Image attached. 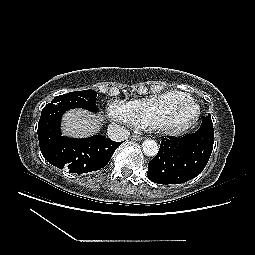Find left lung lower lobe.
Returning a JSON list of instances; mask_svg holds the SVG:
<instances>
[{
    "mask_svg": "<svg viewBox=\"0 0 255 255\" xmlns=\"http://www.w3.org/2000/svg\"><path fill=\"white\" fill-rule=\"evenodd\" d=\"M214 144L211 116L200 128L181 138L167 136L158 154L149 162L147 176L158 184H180L199 175L205 168Z\"/></svg>",
    "mask_w": 255,
    "mask_h": 255,
    "instance_id": "1",
    "label": "left lung lower lobe"
}]
</instances>
